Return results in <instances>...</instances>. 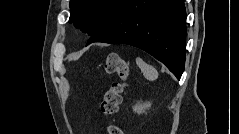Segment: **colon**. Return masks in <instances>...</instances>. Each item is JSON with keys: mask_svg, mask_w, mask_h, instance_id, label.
Wrapping results in <instances>:
<instances>
[{"mask_svg": "<svg viewBox=\"0 0 239 134\" xmlns=\"http://www.w3.org/2000/svg\"><path fill=\"white\" fill-rule=\"evenodd\" d=\"M106 71L110 74H117L122 80L126 79L129 73V66L126 60L118 54L111 53L106 60ZM124 83L115 82L105 92L101 101L100 110L104 116H112L117 113L123 99ZM109 134H122L121 129L116 125H109Z\"/></svg>", "mask_w": 239, "mask_h": 134, "instance_id": "colon-1", "label": "colon"}]
</instances>
